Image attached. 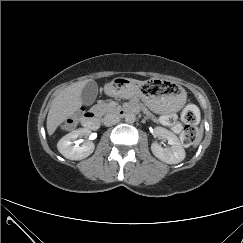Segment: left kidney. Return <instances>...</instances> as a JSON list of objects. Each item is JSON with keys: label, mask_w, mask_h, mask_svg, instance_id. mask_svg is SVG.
Instances as JSON below:
<instances>
[{"label": "left kidney", "mask_w": 243, "mask_h": 243, "mask_svg": "<svg viewBox=\"0 0 243 243\" xmlns=\"http://www.w3.org/2000/svg\"><path fill=\"white\" fill-rule=\"evenodd\" d=\"M154 132L170 145L169 148H163L157 142L152 143L151 151L155 157L167 164H177L184 160L185 150L174 133L163 127H156Z\"/></svg>", "instance_id": "left-kidney-1"}]
</instances>
